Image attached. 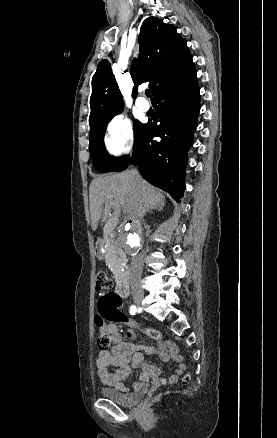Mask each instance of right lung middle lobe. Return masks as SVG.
Segmentation results:
<instances>
[{"instance_id": "1", "label": "right lung middle lobe", "mask_w": 277, "mask_h": 438, "mask_svg": "<svg viewBox=\"0 0 277 438\" xmlns=\"http://www.w3.org/2000/svg\"><path fill=\"white\" fill-rule=\"evenodd\" d=\"M110 121V120H109ZM106 122L90 124V144L89 150L92 158V162L96 169L103 172L114 171L128 156L122 157H111L104 148L103 137L105 133V128L107 126ZM144 124H141L137 120L134 121V138L137 140L140 135Z\"/></svg>"}]
</instances>
